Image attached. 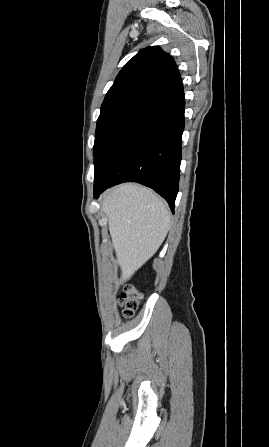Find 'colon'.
<instances>
[{
    "mask_svg": "<svg viewBox=\"0 0 269 447\" xmlns=\"http://www.w3.org/2000/svg\"><path fill=\"white\" fill-rule=\"evenodd\" d=\"M142 293L135 287L126 288L118 298V303L121 306V313L124 318L131 317L138 309Z\"/></svg>",
    "mask_w": 269,
    "mask_h": 447,
    "instance_id": "colon-1",
    "label": "colon"
}]
</instances>
